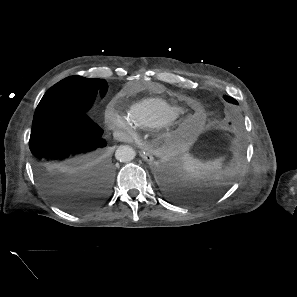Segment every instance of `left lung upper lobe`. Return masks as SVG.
I'll use <instances>...</instances> for the list:
<instances>
[{
  "label": "left lung upper lobe",
  "mask_w": 297,
  "mask_h": 297,
  "mask_svg": "<svg viewBox=\"0 0 297 297\" xmlns=\"http://www.w3.org/2000/svg\"><path fill=\"white\" fill-rule=\"evenodd\" d=\"M224 99L227 101V102H229V103H233V104H238V102L234 99V98H232V97H229V96H224Z\"/></svg>",
  "instance_id": "5c2ea615"
}]
</instances>
